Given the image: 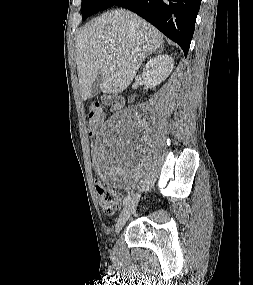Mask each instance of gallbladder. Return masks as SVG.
Listing matches in <instances>:
<instances>
[{
  "label": "gallbladder",
  "instance_id": "bac80fb5",
  "mask_svg": "<svg viewBox=\"0 0 253 285\" xmlns=\"http://www.w3.org/2000/svg\"><path fill=\"white\" fill-rule=\"evenodd\" d=\"M101 81H102V75L99 74V75H97L96 80H95L94 84L92 85L90 97H94L95 95H97L100 92Z\"/></svg>",
  "mask_w": 253,
  "mask_h": 285
}]
</instances>
